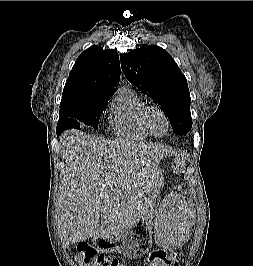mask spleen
<instances>
[{"label": "spleen", "instance_id": "obj_1", "mask_svg": "<svg viewBox=\"0 0 253 266\" xmlns=\"http://www.w3.org/2000/svg\"><path fill=\"white\" fill-rule=\"evenodd\" d=\"M183 161L180 163L181 168H183ZM177 197L178 199H191L192 192L191 190H178ZM194 217L195 212L190 210V207H159L154 215L153 223L157 246L183 248L187 242H192V233H187V229Z\"/></svg>", "mask_w": 253, "mask_h": 266}]
</instances>
